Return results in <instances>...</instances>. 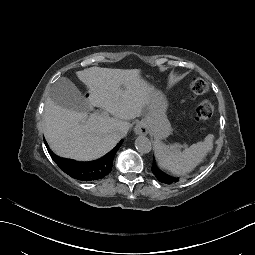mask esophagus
Here are the masks:
<instances>
[{"label": "esophagus", "instance_id": "obj_1", "mask_svg": "<svg viewBox=\"0 0 255 255\" xmlns=\"http://www.w3.org/2000/svg\"><path fill=\"white\" fill-rule=\"evenodd\" d=\"M135 133L137 135H147L149 133V126L146 121H141L135 126Z\"/></svg>", "mask_w": 255, "mask_h": 255}]
</instances>
